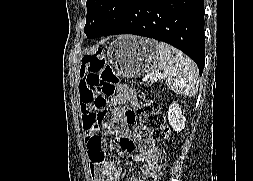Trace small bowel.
Here are the masks:
<instances>
[{
	"mask_svg": "<svg viewBox=\"0 0 253 181\" xmlns=\"http://www.w3.org/2000/svg\"><path fill=\"white\" fill-rule=\"evenodd\" d=\"M86 72L80 70V110L83 118L88 114V104L85 96L88 91L85 84ZM129 103L134 107L139 106L137 94L134 90L124 86L119 87L115 97L109 101L111 118L113 122L120 124L117 129L120 147L124 152H131L138 148V151L129 157L131 163H141L140 171L145 176L152 172L161 158V150L155 141L149 136L148 132L140 129L134 138L129 131V125L135 121V113L132 110H124L122 104ZM112 123L105 122L101 125H93V130H101L102 134L109 135L112 132ZM86 138L92 136V132L85 128ZM90 158V169L96 181H121L123 169L114 162L106 160L104 157V141L92 140L87 143ZM95 154L94 158L92 154ZM132 181H144V178L134 177Z\"/></svg>",
	"mask_w": 253,
	"mask_h": 181,
	"instance_id": "1",
	"label": "small bowel"
}]
</instances>
